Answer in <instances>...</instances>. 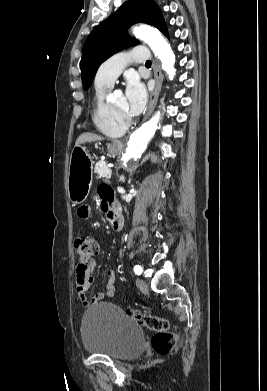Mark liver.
I'll return each mask as SVG.
<instances>
[{"label":"liver","mask_w":267,"mask_h":391,"mask_svg":"<svg viewBox=\"0 0 267 391\" xmlns=\"http://www.w3.org/2000/svg\"><path fill=\"white\" fill-rule=\"evenodd\" d=\"M101 140H103L102 136L86 132V133L81 134L77 138L75 146H79L80 144H83L86 142H95V141H101Z\"/></svg>","instance_id":"liver-1"}]
</instances>
